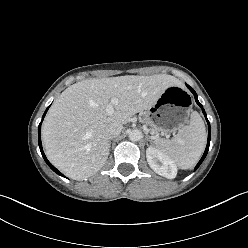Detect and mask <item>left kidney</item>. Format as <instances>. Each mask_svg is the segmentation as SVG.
<instances>
[{"label": "left kidney", "instance_id": "left-kidney-1", "mask_svg": "<svg viewBox=\"0 0 248 248\" xmlns=\"http://www.w3.org/2000/svg\"><path fill=\"white\" fill-rule=\"evenodd\" d=\"M146 158L149 166L157 174L173 179L177 174V167L174 162L161 150L154 147H149L146 150Z\"/></svg>", "mask_w": 248, "mask_h": 248}]
</instances>
